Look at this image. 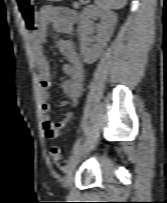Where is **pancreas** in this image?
<instances>
[{"label": "pancreas", "mask_w": 167, "mask_h": 203, "mask_svg": "<svg viewBox=\"0 0 167 203\" xmlns=\"http://www.w3.org/2000/svg\"><path fill=\"white\" fill-rule=\"evenodd\" d=\"M74 7H79V3H74Z\"/></svg>", "instance_id": "pancreas-1"}]
</instances>
